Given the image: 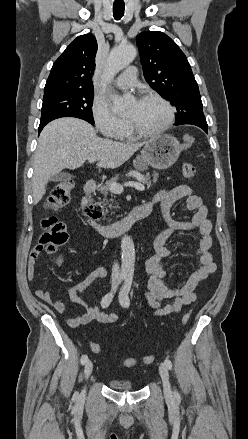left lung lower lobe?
I'll return each instance as SVG.
<instances>
[{
  "mask_svg": "<svg viewBox=\"0 0 248 439\" xmlns=\"http://www.w3.org/2000/svg\"><path fill=\"white\" fill-rule=\"evenodd\" d=\"M200 128H202L206 133H208V125L207 124H193Z\"/></svg>",
  "mask_w": 248,
  "mask_h": 439,
  "instance_id": "1",
  "label": "left lung lower lobe"
}]
</instances>
